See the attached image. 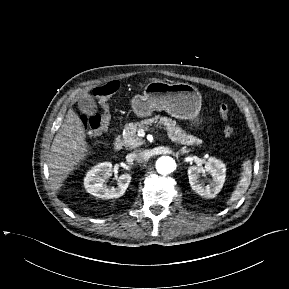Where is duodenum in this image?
<instances>
[{"mask_svg":"<svg viewBox=\"0 0 289 289\" xmlns=\"http://www.w3.org/2000/svg\"><path fill=\"white\" fill-rule=\"evenodd\" d=\"M123 148V141L120 136H117L113 143V150L120 151Z\"/></svg>","mask_w":289,"mask_h":289,"instance_id":"410a0bca","label":"duodenum"}]
</instances>
